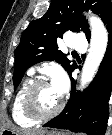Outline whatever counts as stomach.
Masks as SVG:
<instances>
[{"instance_id": "obj_1", "label": "stomach", "mask_w": 112, "mask_h": 135, "mask_svg": "<svg viewBox=\"0 0 112 135\" xmlns=\"http://www.w3.org/2000/svg\"><path fill=\"white\" fill-rule=\"evenodd\" d=\"M11 134H15V133L8 129H5L0 132V135H11ZM47 135H65V134L56 132V131H52V132H49Z\"/></svg>"}]
</instances>
